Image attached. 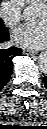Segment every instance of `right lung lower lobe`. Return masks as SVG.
Instances as JSON below:
<instances>
[{"label":"right lung lower lobe","mask_w":47,"mask_h":129,"mask_svg":"<svg viewBox=\"0 0 47 129\" xmlns=\"http://www.w3.org/2000/svg\"><path fill=\"white\" fill-rule=\"evenodd\" d=\"M9 38L7 29L0 26V43ZM22 53L20 48L0 49V90L7 84L12 72V59Z\"/></svg>","instance_id":"1"}]
</instances>
